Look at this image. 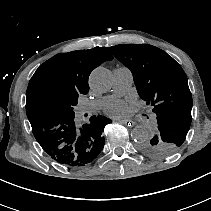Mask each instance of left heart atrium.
<instances>
[{
	"label": "left heart atrium",
	"instance_id": "1",
	"mask_svg": "<svg viewBox=\"0 0 211 211\" xmlns=\"http://www.w3.org/2000/svg\"><path fill=\"white\" fill-rule=\"evenodd\" d=\"M133 102H125V101H121V100H116L111 102L108 107H107V111L108 113L112 114V115H124L126 113H128L132 107H133Z\"/></svg>",
	"mask_w": 211,
	"mask_h": 211
}]
</instances>
